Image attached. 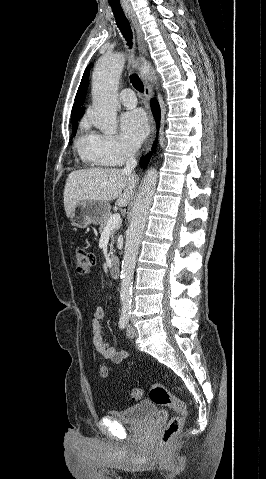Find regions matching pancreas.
<instances>
[{
  "label": "pancreas",
  "mask_w": 266,
  "mask_h": 479,
  "mask_svg": "<svg viewBox=\"0 0 266 479\" xmlns=\"http://www.w3.org/2000/svg\"><path fill=\"white\" fill-rule=\"evenodd\" d=\"M112 216V213H109L104 219L103 221L100 223V227H99V232H103L106 225H107V222L109 220V218ZM116 230H118V227L114 228L111 230V234H110V238H111V243H110V252L113 253V244H114V235H115V232Z\"/></svg>",
  "instance_id": "1"
}]
</instances>
